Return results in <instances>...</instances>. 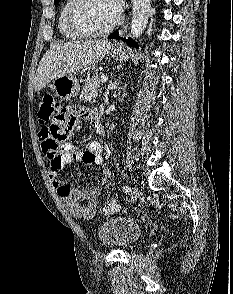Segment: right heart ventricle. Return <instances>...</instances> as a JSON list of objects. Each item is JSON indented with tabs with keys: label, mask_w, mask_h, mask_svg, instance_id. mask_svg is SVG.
I'll use <instances>...</instances> for the list:
<instances>
[{
	"label": "right heart ventricle",
	"mask_w": 233,
	"mask_h": 294,
	"mask_svg": "<svg viewBox=\"0 0 233 294\" xmlns=\"http://www.w3.org/2000/svg\"><path fill=\"white\" fill-rule=\"evenodd\" d=\"M73 3V0H65L62 4L59 16H58V29L61 36L67 40H78L81 39L82 36L77 34L69 25L68 22V13L69 9Z\"/></svg>",
	"instance_id": "e07e8e85"
}]
</instances>
